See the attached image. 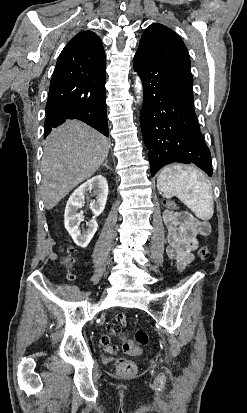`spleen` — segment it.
<instances>
[{
  "mask_svg": "<svg viewBox=\"0 0 247 413\" xmlns=\"http://www.w3.org/2000/svg\"><path fill=\"white\" fill-rule=\"evenodd\" d=\"M157 188L167 196H178L202 221L209 219L213 207L212 186L202 170L194 166H187L185 170L166 166L157 178Z\"/></svg>",
  "mask_w": 247,
  "mask_h": 413,
  "instance_id": "spleen-1",
  "label": "spleen"
}]
</instances>
